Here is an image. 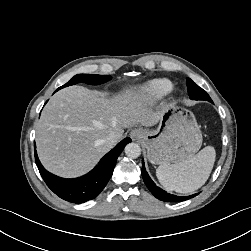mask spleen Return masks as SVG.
<instances>
[{"mask_svg": "<svg viewBox=\"0 0 251 251\" xmlns=\"http://www.w3.org/2000/svg\"><path fill=\"white\" fill-rule=\"evenodd\" d=\"M215 155V149L207 146L185 161L176 164H160L156 169V176L168 191L192 193L203 186L209 178Z\"/></svg>", "mask_w": 251, "mask_h": 251, "instance_id": "1", "label": "spleen"}]
</instances>
